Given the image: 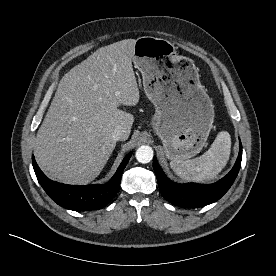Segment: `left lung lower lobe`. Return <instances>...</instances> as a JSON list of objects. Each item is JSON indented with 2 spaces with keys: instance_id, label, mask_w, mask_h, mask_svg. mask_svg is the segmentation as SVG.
<instances>
[{
  "instance_id": "1",
  "label": "left lung lower lobe",
  "mask_w": 276,
  "mask_h": 276,
  "mask_svg": "<svg viewBox=\"0 0 276 276\" xmlns=\"http://www.w3.org/2000/svg\"><path fill=\"white\" fill-rule=\"evenodd\" d=\"M239 155L232 170L216 183L203 185L196 183L176 184L169 180L153 158V168L163 197L174 205L183 208H196L209 205L219 200L233 184L242 160V144H239Z\"/></svg>"
}]
</instances>
